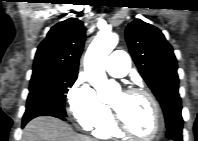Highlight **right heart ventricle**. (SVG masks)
<instances>
[{
    "instance_id": "e07e8e85",
    "label": "right heart ventricle",
    "mask_w": 198,
    "mask_h": 141,
    "mask_svg": "<svg viewBox=\"0 0 198 141\" xmlns=\"http://www.w3.org/2000/svg\"><path fill=\"white\" fill-rule=\"evenodd\" d=\"M94 134L101 138L121 137L122 133L117 130L112 117L109 116L94 128Z\"/></svg>"
}]
</instances>
